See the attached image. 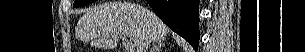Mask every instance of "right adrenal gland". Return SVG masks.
Wrapping results in <instances>:
<instances>
[{"label":"right adrenal gland","instance_id":"2a0ac1e0","mask_svg":"<svg viewBox=\"0 0 305 52\" xmlns=\"http://www.w3.org/2000/svg\"><path fill=\"white\" fill-rule=\"evenodd\" d=\"M164 45H165L164 40L157 41V43L153 44L151 52H160L161 47L164 46Z\"/></svg>","mask_w":305,"mask_h":52}]
</instances>
